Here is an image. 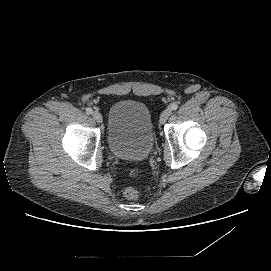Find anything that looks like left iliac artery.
I'll return each mask as SVG.
<instances>
[{
    "instance_id": "1",
    "label": "left iliac artery",
    "mask_w": 271,
    "mask_h": 271,
    "mask_svg": "<svg viewBox=\"0 0 271 271\" xmlns=\"http://www.w3.org/2000/svg\"><path fill=\"white\" fill-rule=\"evenodd\" d=\"M177 108H178V104H177V103H172V104L170 105V109H171V110H177Z\"/></svg>"
}]
</instances>
